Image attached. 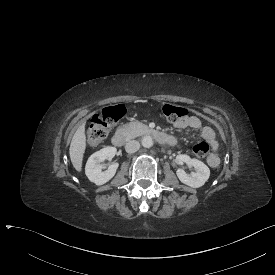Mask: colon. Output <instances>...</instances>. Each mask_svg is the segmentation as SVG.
Returning <instances> with one entry per match:
<instances>
[{
	"instance_id": "obj_1",
	"label": "colon",
	"mask_w": 275,
	"mask_h": 275,
	"mask_svg": "<svg viewBox=\"0 0 275 275\" xmlns=\"http://www.w3.org/2000/svg\"><path fill=\"white\" fill-rule=\"evenodd\" d=\"M161 111V114H157V119H164L168 122L181 120L188 115V110L185 107L175 106L170 103H165ZM124 113L125 109L122 104H112L95 114L87 127L88 144L91 147L100 146L106 138L110 127L120 121ZM209 150L210 145L204 140L199 141L193 147L194 154L199 158L205 157Z\"/></svg>"
}]
</instances>
